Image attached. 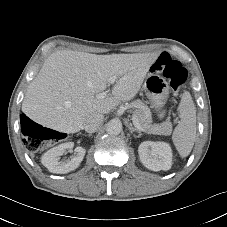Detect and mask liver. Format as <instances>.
Listing matches in <instances>:
<instances>
[{
    "label": "liver",
    "mask_w": 227,
    "mask_h": 227,
    "mask_svg": "<svg viewBox=\"0 0 227 227\" xmlns=\"http://www.w3.org/2000/svg\"><path fill=\"white\" fill-rule=\"evenodd\" d=\"M156 53L96 55L72 50L52 53L30 83L22 111L44 127L67 134L83 129L86 118L107 114L133 99L141 88ZM112 95L97 99L110 77Z\"/></svg>",
    "instance_id": "6515ba94"
}]
</instances>
